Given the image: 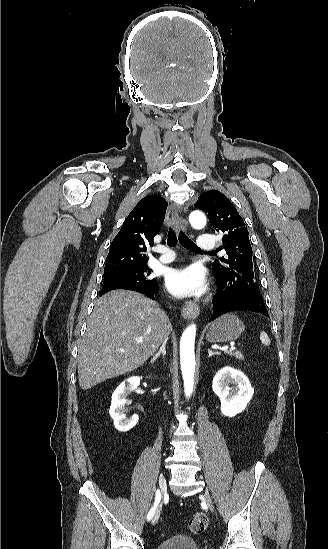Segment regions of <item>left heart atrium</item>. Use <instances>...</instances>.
<instances>
[{"label":"left heart atrium","mask_w":328,"mask_h":549,"mask_svg":"<svg viewBox=\"0 0 328 549\" xmlns=\"http://www.w3.org/2000/svg\"><path fill=\"white\" fill-rule=\"evenodd\" d=\"M207 286L204 269L198 265H189L172 270L166 277V287L177 297L198 296Z\"/></svg>","instance_id":"39dd6f15"}]
</instances>
